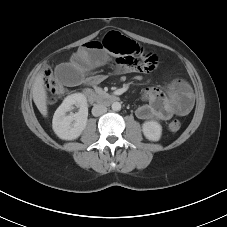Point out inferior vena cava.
Wrapping results in <instances>:
<instances>
[{
  "label": "inferior vena cava",
  "mask_w": 227,
  "mask_h": 227,
  "mask_svg": "<svg viewBox=\"0 0 227 227\" xmlns=\"http://www.w3.org/2000/svg\"><path fill=\"white\" fill-rule=\"evenodd\" d=\"M107 112V107L101 104H96L94 105V107L92 108V114L93 116H100L104 113Z\"/></svg>",
  "instance_id": "1"
}]
</instances>
